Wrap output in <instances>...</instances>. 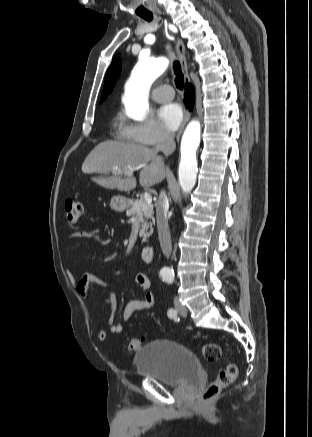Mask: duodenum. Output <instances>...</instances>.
I'll use <instances>...</instances> for the list:
<instances>
[{"label": "duodenum", "mask_w": 312, "mask_h": 437, "mask_svg": "<svg viewBox=\"0 0 312 437\" xmlns=\"http://www.w3.org/2000/svg\"><path fill=\"white\" fill-rule=\"evenodd\" d=\"M154 248L150 245H146L141 248L140 257L141 260L145 263H149L153 259Z\"/></svg>", "instance_id": "duodenum-1"}]
</instances>
